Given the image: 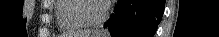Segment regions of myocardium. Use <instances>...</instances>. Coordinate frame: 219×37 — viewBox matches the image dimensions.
I'll return each instance as SVG.
<instances>
[{
	"label": "myocardium",
	"mask_w": 219,
	"mask_h": 37,
	"mask_svg": "<svg viewBox=\"0 0 219 37\" xmlns=\"http://www.w3.org/2000/svg\"><path fill=\"white\" fill-rule=\"evenodd\" d=\"M92 1H100V0H80L79 1V5H78V9H77V13L79 18L84 22V24L86 26H97L100 25L101 23L104 22V20L106 19L108 12H109V5L108 3H103V10L101 12V14L95 18H90L87 14H86V3L87 2H92ZM102 2V1H100Z\"/></svg>",
	"instance_id": "1"
}]
</instances>
